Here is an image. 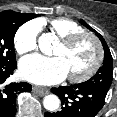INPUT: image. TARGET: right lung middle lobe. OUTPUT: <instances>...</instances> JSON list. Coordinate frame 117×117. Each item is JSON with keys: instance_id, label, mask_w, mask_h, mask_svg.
I'll list each match as a JSON object with an SVG mask.
<instances>
[{"instance_id": "obj_1", "label": "right lung middle lobe", "mask_w": 117, "mask_h": 117, "mask_svg": "<svg viewBox=\"0 0 117 117\" xmlns=\"http://www.w3.org/2000/svg\"><path fill=\"white\" fill-rule=\"evenodd\" d=\"M30 20L27 14L14 11L0 13V68L16 64L14 36L17 29Z\"/></svg>"}]
</instances>
